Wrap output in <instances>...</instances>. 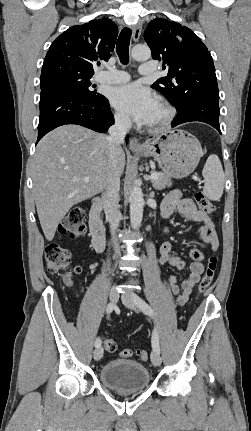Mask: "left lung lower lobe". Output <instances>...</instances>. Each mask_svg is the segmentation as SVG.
I'll use <instances>...</instances> for the list:
<instances>
[{
  "instance_id": "obj_1",
  "label": "left lung lower lobe",
  "mask_w": 251,
  "mask_h": 431,
  "mask_svg": "<svg viewBox=\"0 0 251 431\" xmlns=\"http://www.w3.org/2000/svg\"><path fill=\"white\" fill-rule=\"evenodd\" d=\"M219 105L216 98H197L189 101L186 106L177 111V117L172 122L175 127L191 121H200L210 124L221 133L219 126Z\"/></svg>"
}]
</instances>
